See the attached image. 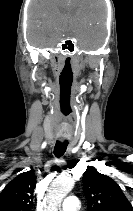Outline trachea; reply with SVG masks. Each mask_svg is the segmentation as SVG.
Returning a JSON list of instances; mask_svg holds the SVG:
<instances>
[{
    "label": "trachea",
    "mask_w": 133,
    "mask_h": 211,
    "mask_svg": "<svg viewBox=\"0 0 133 211\" xmlns=\"http://www.w3.org/2000/svg\"><path fill=\"white\" fill-rule=\"evenodd\" d=\"M67 145H68L67 141L64 142L57 141L54 147V155L56 157L62 156L66 151Z\"/></svg>",
    "instance_id": "trachea-1"
}]
</instances>
